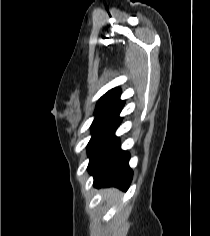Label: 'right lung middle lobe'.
<instances>
[{"label":"right lung middle lobe","mask_w":210,"mask_h":236,"mask_svg":"<svg viewBox=\"0 0 210 236\" xmlns=\"http://www.w3.org/2000/svg\"><path fill=\"white\" fill-rule=\"evenodd\" d=\"M124 102L119 97L112 101H99L95 110V119L91 125V130L95 131L105 120L117 112Z\"/></svg>","instance_id":"obj_1"}]
</instances>
